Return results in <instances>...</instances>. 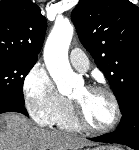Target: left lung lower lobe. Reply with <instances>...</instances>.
Wrapping results in <instances>:
<instances>
[{
    "instance_id": "1",
    "label": "left lung lower lobe",
    "mask_w": 139,
    "mask_h": 150,
    "mask_svg": "<svg viewBox=\"0 0 139 150\" xmlns=\"http://www.w3.org/2000/svg\"><path fill=\"white\" fill-rule=\"evenodd\" d=\"M121 111L122 119L116 131L89 139L96 142L123 144L139 150V92L131 96Z\"/></svg>"
}]
</instances>
